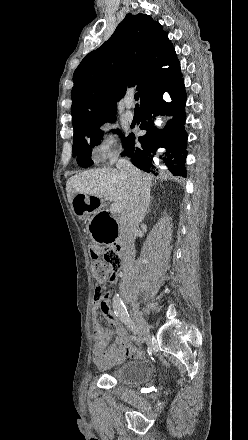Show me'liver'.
Masks as SVG:
<instances>
[{
  "label": "liver",
  "instance_id": "1",
  "mask_svg": "<svg viewBox=\"0 0 248 440\" xmlns=\"http://www.w3.org/2000/svg\"><path fill=\"white\" fill-rule=\"evenodd\" d=\"M149 186L151 175L142 173ZM66 192L69 203L76 194H85L97 198L109 197L125 207L134 194V183L126 175L115 168H98L76 174L66 183Z\"/></svg>",
  "mask_w": 248,
  "mask_h": 440
}]
</instances>
